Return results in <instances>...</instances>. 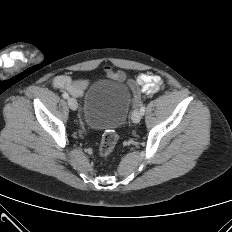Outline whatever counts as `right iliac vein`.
<instances>
[{
    "instance_id": "right-iliac-vein-1",
    "label": "right iliac vein",
    "mask_w": 232,
    "mask_h": 232,
    "mask_svg": "<svg viewBox=\"0 0 232 232\" xmlns=\"http://www.w3.org/2000/svg\"><path fill=\"white\" fill-rule=\"evenodd\" d=\"M68 105H69V107H70V109L71 110H76L77 109V107H78V104H77V101H76V99H74V98H69L68 99Z\"/></svg>"
}]
</instances>
